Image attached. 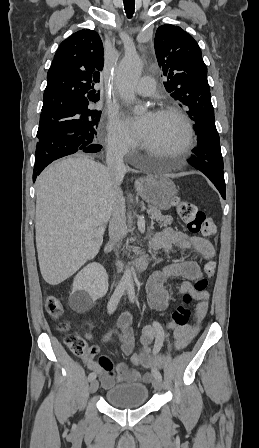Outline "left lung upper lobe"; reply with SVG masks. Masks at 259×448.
<instances>
[{
  "instance_id": "left-lung-upper-lobe-1",
  "label": "left lung upper lobe",
  "mask_w": 259,
  "mask_h": 448,
  "mask_svg": "<svg viewBox=\"0 0 259 448\" xmlns=\"http://www.w3.org/2000/svg\"><path fill=\"white\" fill-rule=\"evenodd\" d=\"M154 47L163 84L175 100L189 108L196 133L217 131L207 67L197 42L180 27L166 24L157 29Z\"/></svg>"
}]
</instances>
